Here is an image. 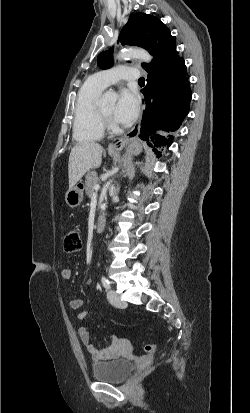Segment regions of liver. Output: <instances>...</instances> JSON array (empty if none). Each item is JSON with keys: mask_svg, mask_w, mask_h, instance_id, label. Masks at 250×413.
I'll use <instances>...</instances> for the list:
<instances>
[{"mask_svg": "<svg viewBox=\"0 0 250 413\" xmlns=\"http://www.w3.org/2000/svg\"><path fill=\"white\" fill-rule=\"evenodd\" d=\"M103 147L96 142H84L71 149L68 162L69 189L73 188L90 169L98 168Z\"/></svg>", "mask_w": 250, "mask_h": 413, "instance_id": "obj_1", "label": "liver"}]
</instances>
